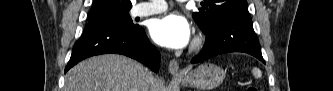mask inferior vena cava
Returning <instances> with one entry per match:
<instances>
[{"label": "inferior vena cava", "mask_w": 333, "mask_h": 91, "mask_svg": "<svg viewBox=\"0 0 333 91\" xmlns=\"http://www.w3.org/2000/svg\"><path fill=\"white\" fill-rule=\"evenodd\" d=\"M154 83L155 78L151 73H148L143 84V91H153Z\"/></svg>", "instance_id": "inferior-vena-cava-1"}]
</instances>
